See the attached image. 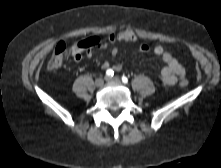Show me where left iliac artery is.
<instances>
[{
  "label": "left iliac artery",
  "instance_id": "1",
  "mask_svg": "<svg viewBox=\"0 0 221 168\" xmlns=\"http://www.w3.org/2000/svg\"><path fill=\"white\" fill-rule=\"evenodd\" d=\"M122 82L123 83H128V78L126 76H122Z\"/></svg>",
  "mask_w": 221,
  "mask_h": 168
}]
</instances>
